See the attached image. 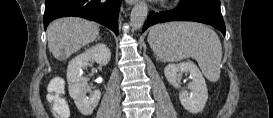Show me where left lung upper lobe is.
Returning a JSON list of instances; mask_svg holds the SVG:
<instances>
[{
  "mask_svg": "<svg viewBox=\"0 0 273 118\" xmlns=\"http://www.w3.org/2000/svg\"><path fill=\"white\" fill-rule=\"evenodd\" d=\"M205 3H208L212 6H214L217 9H220V0H199Z\"/></svg>",
  "mask_w": 273,
  "mask_h": 118,
  "instance_id": "5c2ea615",
  "label": "left lung upper lobe"
}]
</instances>
